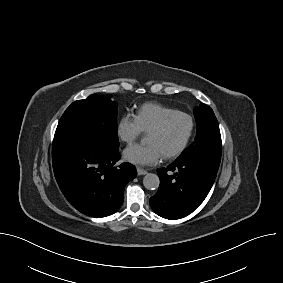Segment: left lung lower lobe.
I'll use <instances>...</instances> for the list:
<instances>
[{"label": "left lung lower lobe", "instance_id": "left-lung-lower-lobe-1", "mask_svg": "<svg viewBox=\"0 0 283 283\" xmlns=\"http://www.w3.org/2000/svg\"><path fill=\"white\" fill-rule=\"evenodd\" d=\"M220 163L203 156L178 158L167 168L157 169L158 192L150 206L159 216L174 220L192 213L206 198Z\"/></svg>", "mask_w": 283, "mask_h": 283}]
</instances>
